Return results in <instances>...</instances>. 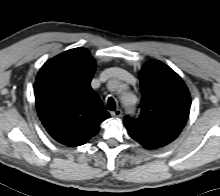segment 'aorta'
I'll return each mask as SVG.
<instances>
[{
  "label": "aorta",
  "instance_id": "762f6f07",
  "mask_svg": "<svg viewBox=\"0 0 220 196\" xmlns=\"http://www.w3.org/2000/svg\"><path fill=\"white\" fill-rule=\"evenodd\" d=\"M133 97L131 94H123L122 96V102L124 106L127 108L128 111L132 112L134 111V105L130 103V99Z\"/></svg>",
  "mask_w": 220,
  "mask_h": 196
}]
</instances>
